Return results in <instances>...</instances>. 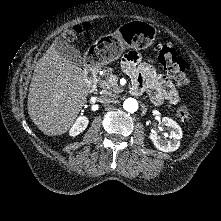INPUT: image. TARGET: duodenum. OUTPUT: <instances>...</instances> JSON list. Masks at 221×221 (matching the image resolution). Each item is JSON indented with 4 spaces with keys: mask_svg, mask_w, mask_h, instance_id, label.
<instances>
[{
    "mask_svg": "<svg viewBox=\"0 0 221 221\" xmlns=\"http://www.w3.org/2000/svg\"><path fill=\"white\" fill-rule=\"evenodd\" d=\"M98 67L93 61H88L85 67V78L89 88H92L96 84V74Z\"/></svg>",
    "mask_w": 221,
    "mask_h": 221,
    "instance_id": "duodenum-1",
    "label": "duodenum"
}]
</instances>
